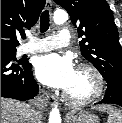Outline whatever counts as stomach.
Segmentation results:
<instances>
[{"instance_id": "obj_1", "label": "stomach", "mask_w": 122, "mask_h": 123, "mask_svg": "<svg viewBox=\"0 0 122 123\" xmlns=\"http://www.w3.org/2000/svg\"><path fill=\"white\" fill-rule=\"evenodd\" d=\"M69 119L71 123H100L99 118L89 111H80L76 115H71Z\"/></svg>"}]
</instances>
